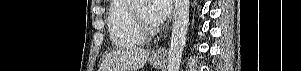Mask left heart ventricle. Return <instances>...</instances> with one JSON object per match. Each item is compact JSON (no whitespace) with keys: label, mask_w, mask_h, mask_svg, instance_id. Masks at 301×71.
I'll return each instance as SVG.
<instances>
[{"label":"left heart ventricle","mask_w":301,"mask_h":71,"mask_svg":"<svg viewBox=\"0 0 301 71\" xmlns=\"http://www.w3.org/2000/svg\"><path fill=\"white\" fill-rule=\"evenodd\" d=\"M136 8L137 11L139 12V14L144 17L145 19H147L148 21L152 22L149 16V5L147 2L145 1H139L136 4Z\"/></svg>","instance_id":"1"}]
</instances>
